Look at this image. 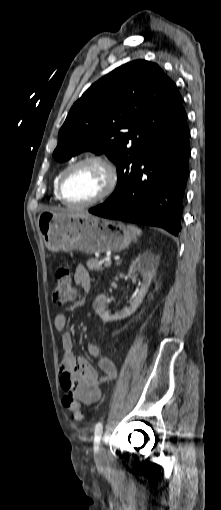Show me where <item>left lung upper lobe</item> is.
<instances>
[{"instance_id":"5c2ea615","label":"left lung upper lobe","mask_w":221,"mask_h":510,"mask_svg":"<svg viewBox=\"0 0 221 510\" xmlns=\"http://www.w3.org/2000/svg\"><path fill=\"white\" fill-rule=\"evenodd\" d=\"M186 120L175 83L157 64L132 61L92 84L74 103L53 157L63 162L82 151L106 154L117 166L112 199L129 185L151 145L187 127Z\"/></svg>"}]
</instances>
